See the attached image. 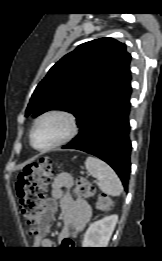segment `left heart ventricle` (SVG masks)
<instances>
[{
	"label": "left heart ventricle",
	"mask_w": 162,
	"mask_h": 261,
	"mask_svg": "<svg viewBox=\"0 0 162 261\" xmlns=\"http://www.w3.org/2000/svg\"><path fill=\"white\" fill-rule=\"evenodd\" d=\"M66 130V123L57 117L43 120L35 129L33 141L37 147H45L60 138Z\"/></svg>",
	"instance_id": "left-heart-ventricle-1"
}]
</instances>
